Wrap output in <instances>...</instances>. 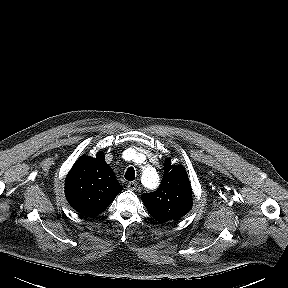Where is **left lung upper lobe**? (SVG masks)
Here are the masks:
<instances>
[{"mask_svg":"<svg viewBox=\"0 0 288 288\" xmlns=\"http://www.w3.org/2000/svg\"><path fill=\"white\" fill-rule=\"evenodd\" d=\"M191 186L185 169L166 160L164 175L157 191L142 194L150 215L161 223L176 221L192 206Z\"/></svg>","mask_w":288,"mask_h":288,"instance_id":"left-lung-upper-lobe-1","label":"left lung upper lobe"}]
</instances>
